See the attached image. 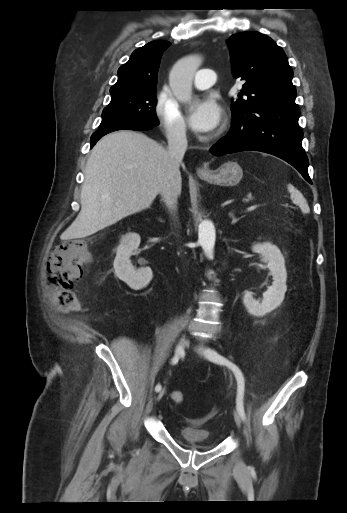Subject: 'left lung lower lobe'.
Returning <instances> with one entry per match:
<instances>
[{
	"label": "left lung lower lobe",
	"mask_w": 347,
	"mask_h": 513,
	"mask_svg": "<svg viewBox=\"0 0 347 513\" xmlns=\"http://www.w3.org/2000/svg\"><path fill=\"white\" fill-rule=\"evenodd\" d=\"M299 115L296 104L270 103L253 107L233 116L229 133L211 152L216 156L246 150L269 153L291 164L311 183L308 159L302 148Z\"/></svg>",
	"instance_id": "0a47b994"
}]
</instances>
